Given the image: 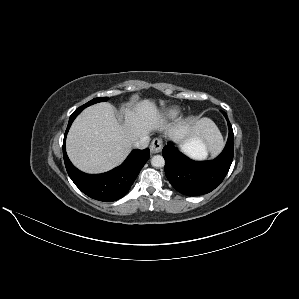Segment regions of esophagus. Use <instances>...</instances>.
Returning a JSON list of instances; mask_svg holds the SVG:
<instances>
[{
	"label": "esophagus",
	"instance_id": "esophagus-1",
	"mask_svg": "<svg viewBox=\"0 0 299 299\" xmlns=\"http://www.w3.org/2000/svg\"><path fill=\"white\" fill-rule=\"evenodd\" d=\"M162 146H163V142L161 139L159 138L153 139L150 145L151 153H159L162 149Z\"/></svg>",
	"mask_w": 299,
	"mask_h": 299
}]
</instances>
